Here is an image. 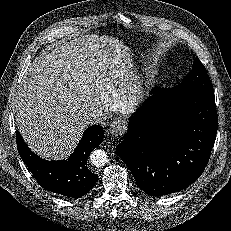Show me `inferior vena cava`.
Wrapping results in <instances>:
<instances>
[{
    "instance_id": "obj_1",
    "label": "inferior vena cava",
    "mask_w": 231,
    "mask_h": 231,
    "mask_svg": "<svg viewBox=\"0 0 231 231\" xmlns=\"http://www.w3.org/2000/svg\"><path fill=\"white\" fill-rule=\"evenodd\" d=\"M79 116L81 120L87 125L93 124L100 119L99 114L95 110L83 111L79 114Z\"/></svg>"
}]
</instances>
